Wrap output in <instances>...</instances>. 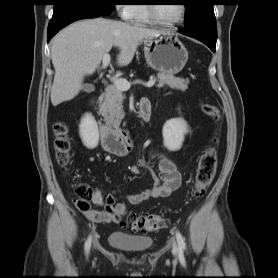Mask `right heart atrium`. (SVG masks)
Instances as JSON below:
<instances>
[{
	"label": "right heart atrium",
	"mask_w": 278,
	"mask_h": 278,
	"mask_svg": "<svg viewBox=\"0 0 278 278\" xmlns=\"http://www.w3.org/2000/svg\"><path fill=\"white\" fill-rule=\"evenodd\" d=\"M118 15L124 20H130L133 11L131 4H119L116 6Z\"/></svg>",
	"instance_id": "d8ad5b80"
}]
</instances>
